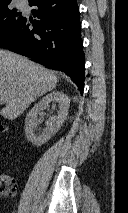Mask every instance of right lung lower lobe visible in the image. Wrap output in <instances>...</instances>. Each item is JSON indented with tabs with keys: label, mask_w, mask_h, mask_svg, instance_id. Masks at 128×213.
Listing matches in <instances>:
<instances>
[{
	"label": "right lung lower lobe",
	"mask_w": 128,
	"mask_h": 213,
	"mask_svg": "<svg viewBox=\"0 0 128 213\" xmlns=\"http://www.w3.org/2000/svg\"><path fill=\"white\" fill-rule=\"evenodd\" d=\"M29 4L38 6L32 12L39 18L32 23L33 29L25 18L0 47L65 72L83 93L85 56L77 0H32Z\"/></svg>",
	"instance_id": "98d812e1"
}]
</instances>
